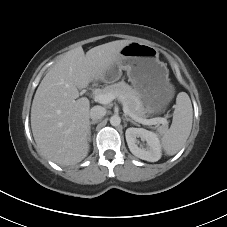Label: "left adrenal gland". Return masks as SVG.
<instances>
[{"mask_svg": "<svg viewBox=\"0 0 227 227\" xmlns=\"http://www.w3.org/2000/svg\"><path fill=\"white\" fill-rule=\"evenodd\" d=\"M125 120L131 122V123L134 124V125H138V123H136L135 121H133L132 119H130V118L127 117V116H125Z\"/></svg>", "mask_w": 227, "mask_h": 227, "instance_id": "obj_1", "label": "left adrenal gland"}]
</instances>
